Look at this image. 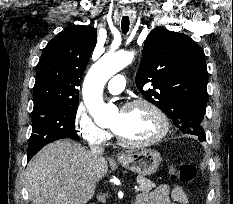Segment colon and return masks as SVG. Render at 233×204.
Wrapping results in <instances>:
<instances>
[{
	"label": "colon",
	"instance_id": "1",
	"mask_svg": "<svg viewBox=\"0 0 233 204\" xmlns=\"http://www.w3.org/2000/svg\"><path fill=\"white\" fill-rule=\"evenodd\" d=\"M199 170L193 164L172 165L170 175L182 183H190L198 176Z\"/></svg>",
	"mask_w": 233,
	"mask_h": 204
}]
</instances>
